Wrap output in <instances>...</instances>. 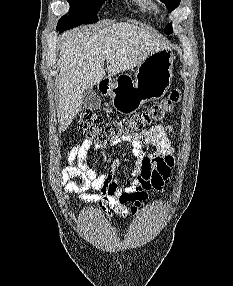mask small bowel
Masks as SVG:
<instances>
[{"instance_id": "c3829d8e", "label": "small bowel", "mask_w": 233, "mask_h": 286, "mask_svg": "<svg viewBox=\"0 0 233 286\" xmlns=\"http://www.w3.org/2000/svg\"><path fill=\"white\" fill-rule=\"evenodd\" d=\"M171 130V126L155 125L122 140L131 145L135 158L133 179L126 187H119L112 173H99L96 168L87 166L86 158L91 148H106V144L94 143L91 139H84L70 150L69 165L61 172V183L68 194H74L85 202L100 205L108 217H112L113 214L125 217L134 213L130 204L137 193L159 191L170 178L171 169L175 164L174 148L168 136ZM120 142H114L113 145ZM148 146L153 147V150H147ZM117 165L118 162H114V166ZM73 177H79L80 183L69 182ZM87 189H93L97 193H85Z\"/></svg>"}]
</instances>
